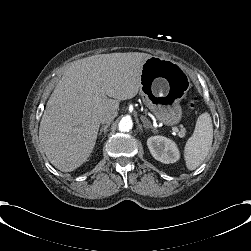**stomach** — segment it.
I'll list each match as a JSON object with an SVG mask.
<instances>
[{"label":"stomach","mask_w":251,"mask_h":251,"mask_svg":"<svg viewBox=\"0 0 251 251\" xmlns=\"http://www.w3.org/2000/svg\"><path fill=\"white\" fill-rule=\"evenodd\" d=\"M160 83L165 85L163 94ZM189 88L190 79L176 62L155 56L144 61L140 95L144 103L166 124L176 123L180 119L179 101Z\"/></svg>","instance_id":"obj_1"}]
</instances>
